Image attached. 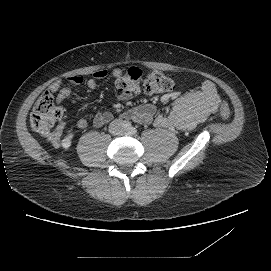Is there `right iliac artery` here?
Listing matches in <instances>:
<instances>
[{
  "label": "right iliac artery",
  "mask_w": 271,
  "mask_h": 271,
  "mask_svg": "<svg viewBox=\"0 0 271 271\" xmlns=\"http://www.w3.org/2000/svg\"><path fill=\"white\" fill-rule=\"evenodd\" d=\"M130 126H131V123H130V122H125V123H124V127H125L126 129H129Z\"/></svg>",
  "instance_id": "82829eb1"
}]
</instances>
